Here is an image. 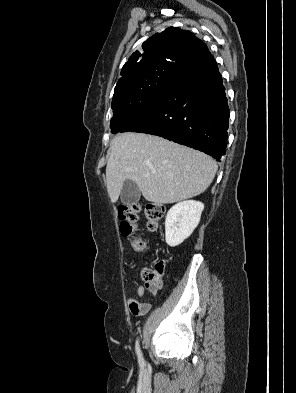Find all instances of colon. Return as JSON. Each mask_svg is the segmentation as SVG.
Listing matches in <instances>:
<instances>
[{
	"label": "colon",
	"instance_id": "5ec220e1",
	"mask_svg": "<svg viewBox=\"0 0 296 393\" xmlns=\"http://www.w3.org/2000/svg\"><path fill=\"white\" fill-rule=\"evenodd\" d=\"M144 211L147 225L151 230H155L159 222L165 215V207L160 203L148 202L144 205L136 204L132 206H122L119 209L120 232L123 238L130 241L133 249L137 252L145 248L141 236L136 234V223L141 211ZM163 273V265L159 262L153 268H146L142 272L146 285L155 290L160 284Z\"/></svg>",
	"mask_w": 296,
	"mask_h": 393
}]
</instances>
